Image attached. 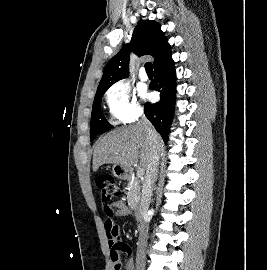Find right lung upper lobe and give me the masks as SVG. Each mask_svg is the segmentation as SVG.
Here are the masks:
<instances>
[{
	"instance_id": "cb5924a9",
	"label": "right lung upper lobe",
	"mask_w": 267,
	"mask_h": 270,
	"mask_svg": "<svg viewBox=\"0 0 267 270\" xmlns=\"http://www.w3.org/2000/svg\"><path fill=\"white\" fill-rule=\"evenodd\" d=\"M169 48L160 25L152 20L139 21L133 31L131 42L123 46L106 64L96 93L107 90L115 82L128 77L130 52L138 56L151 55L155 65Z\"/></svg>"
}]
</instances>
